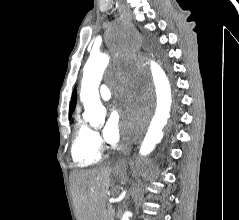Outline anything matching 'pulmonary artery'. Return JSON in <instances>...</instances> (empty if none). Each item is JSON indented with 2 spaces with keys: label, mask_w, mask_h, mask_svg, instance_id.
<instances>
[{
  "label": "pulmonary artery",
  "mask_w": 239,
  "mask_h": 220,
  "mask_svg": "<svg viewBox=\"0 0 239 220\" xmlns=\"http://www.w3.org/2000/svg\"><path fill=\"white\" fill-rule=\"evenodd\" d=\"M99 93L103 100L107 101L111 99V91L107 85L105 84L101 85Z\"/></svg>",
  "instance_id": "pulmonary-artery-1"
}]
</instances>
